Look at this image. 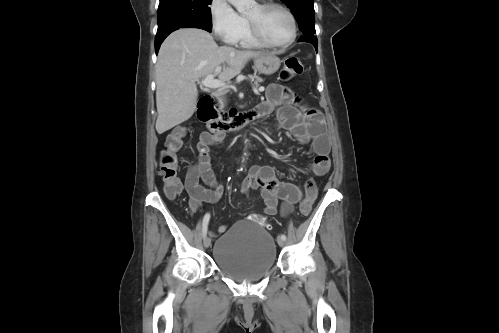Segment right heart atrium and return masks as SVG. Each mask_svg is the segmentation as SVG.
<instances>
[{"label":"right heart atrium","mask_w":499,"mask_h":333,"mask_svg":"<svg viewBox=\"0 0 499 333\" xmlns=\"http://www.w3.org/2000/svg\"><path fill=\"white\" fill-rule=\"evenodd\" d=\"M209 17L214 35L222 42L234 44L242 33L246 21L227 0H211Z\"/></svg>","instance_id":"obj_1"}]
</instances>
